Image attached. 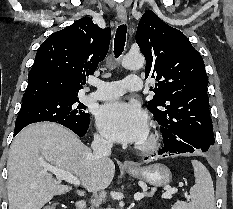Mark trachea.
I'll return each mask as SVG.
<instances>
[{"label": "trachea", "instance_id": "3493384b", "mask_svg": "<svg viewBox=\"0 0 233 209\" xmlns=\"http://www.w3.org/2000/svg\"><path fill=\"white\" fill-rule=\"evenodd\" d=\"M126 33H127V27L125 24H121L118 26L115 39H114V54L115 57H119L125 46L126 41Z\"/></svg>", "mask_w": 233, "mask_h": 209}]
</instances>
